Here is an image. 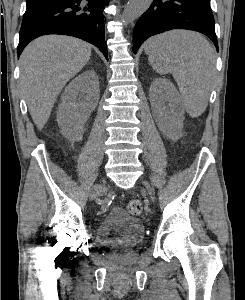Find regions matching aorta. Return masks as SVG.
I'll use <instances>...</instances> for the list:
<instances>
[{
	"instance_id": "aorta-1",
	"label": "aorta",
	"mask_w": 245,
	"mask_h": 300,
	"mask_svg": "<svg viewBox=\"0 0 245 300\" xmlns=\"http://www.w3.org/2000/svg\"><path fill=\"white\" fill-rule=\"evenodd\" d=\"M151 3L152 0H129L122 15V22L128 24L135 21L148 10Z\"/></svg>"
}]
</instances>
